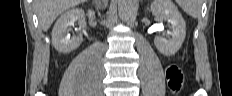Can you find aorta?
<instances>
[{
  "label": "aorta",
  "mask_w": 232,
  "mask_h": 96,
  "mask_svg": "<svg viewBox=\"0 0 232 96\" xmlns=\"http://www.w3.org/2000/svg\"><path fill=\"white\" fill-rule=\"evenodd\" d=\"M134 0H118V10L122 20L127 21L133 11Z\"/></svg>",
  "instance_id": "1"
}]
</instances>
